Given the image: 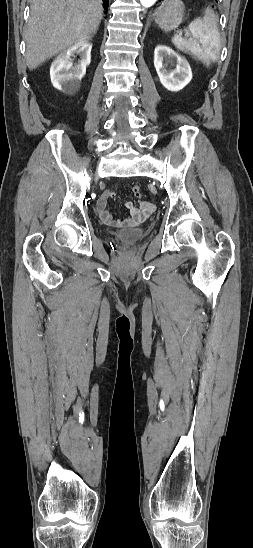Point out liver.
I'll return each mask as SVG.
<instances>
[{
	"label": "liver",
	"instance_id": "6515ba94",
	"mask_svg": "<svg viewBox=\"0 0 253 548\" xmlns=\"http://www.w3.org/2000/svg\"><path fill=\"white\" fill-rule=\"evenodd\" d=\"M102 17L101 0H31L25 30L28 68L33 70L59 52L87 42Z\"/></svg>",
	"mask_w": 253,
	"mask_h": 548
}]
</instances>
